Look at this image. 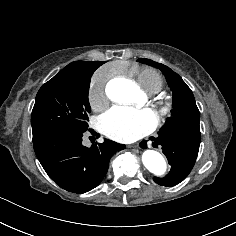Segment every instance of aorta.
Wrapping results in <instances>:
<instances>
[{"label":"aorta","mask_w":236,"mask_h":236,"mask_svg":"<svg viewBox=\"0 0 236 236\" xmlns=\"http://www.w3.org/2000/svg\"><path fill=\"white\" fill-rule=\"evenodd\" d=\"M107 93L109 98L116 102L129 103L135 98L137 86L130 80L119 79L108 85ZM142 162L146 169L156 176H163L167 170L164 157L155 150H145Z\"/></svg>","instance_id":"1"}]
</instances>
